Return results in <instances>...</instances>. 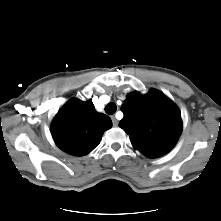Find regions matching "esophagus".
Masks as SVG:
<instances>
[{
  "instance_id": "esophagus-1",
  "label": "esophagus",
  "mask_w": 221,
  "mask_h": 221,
  "mask_svg": "<svg viewBox=\"0 0 221 221\" xmlns=\"http://www.w3.org/2000/svg\"><path fill=\"white\" fill-rule=\"evenodd\" d=\"M111 119H112V123L114 126H117L118 125V120L116 119L115 116H111Z\"/></svg>"
}]
</instances>
